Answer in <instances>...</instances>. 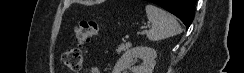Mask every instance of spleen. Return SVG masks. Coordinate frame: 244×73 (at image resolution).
Here are the masks:
<instances>
[{
    "instance_id": "3e777b00",
    "label": "spleen",
    "mask_w": 244,
    "mask_h": 73,
    "mask_svg": "<svg viewBox=\"0 0 244 73\" xmlns=\"http://www.w3.org/2000/svg\"><path fill=\"white\" fill-rule=\"evenodd\" d=\"M148 20L151 22V29L147 32V37L151 41L166 39L182 32L181 26L173 15L148 4L145 7Z\"/></svg>"
}]
</instances>
